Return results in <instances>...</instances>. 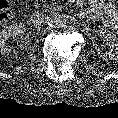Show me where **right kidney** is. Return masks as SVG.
Wrapping results in <instances>:
<instances>
[{"label": "right kidney", "mask_w": 118, "mask_h": 118, "mask_svg": "<svg viewBox=\"0 0 118 118\" xmlns=\"http://www.w3.org/2000/svg\"><path fill=\"white\" fill-rule=\"evenodd\" d=\"M25 32L26 27L23 24L10 25L0 31V53L4 55H9L11 53V49H9L6 45L8 39L16 35H24ZM22 46L26 47L27 42H24Z\"/></svg>", "instance_id": "obj_1"}]
</instances>
